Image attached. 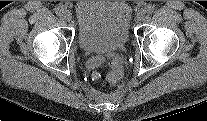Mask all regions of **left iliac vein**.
Instances as JSON below:
<instances>
[{
	"instance_id": "4c4485c4",
	"label": "left iliac vein",
	"mask_w": 207,
	"mask_h": 121,
	"mask_svg": "<svg viewBox=\"0 0 207 121\" xmlns=\"http://www.w3.org/2000/svg\"><path fill=\"white\" fill-rule=\"evenodd\" d=\"M136 17L138 21H142L145 18V12L143 10L139 11Z\"/></svg>"
}]
</instances>
